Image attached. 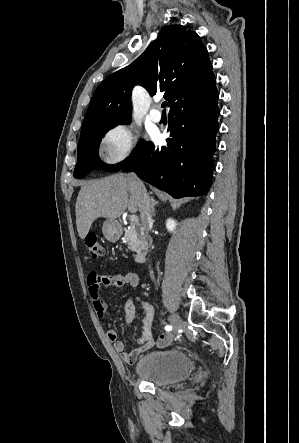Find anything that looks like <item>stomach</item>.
<instances>
[{
	"label": "stomach",
	"instance_id": "obj_1",
	"mask_svg": "<svg viewBox=\"0 0 299 443\" xmlns=\"http://www.w3.org/2000/svg\"><path fill=\"white\" fill-rule=\"evenodd\" d=\"M102 232L109 242H116L119 238V223L116 220H106Z\"/></svg>",
	"mask_w": 299,
	"mask_h": 443
}]
</instances>
